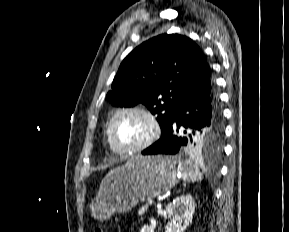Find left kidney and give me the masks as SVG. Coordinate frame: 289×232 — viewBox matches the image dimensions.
<instances>
[{
	"mask_svg": "<svg viewBox=\"0 0 289 232\" xmlns=\"http://www.w3.org/2000/svg\"><path fill=\"white\" fill-rule=\"evenodd\" d=\"M195 201L190 194L181 195L169 203L166 212L170 223L166 232H183L192 221L195 212ZM140 232H154L149 225H144Z\"/></svg>",
	"mask_w": 289,
	"mask_h": 232,
	"instance_id": "5707ae66",
	"label": "left kidney"
}]
</instances>
